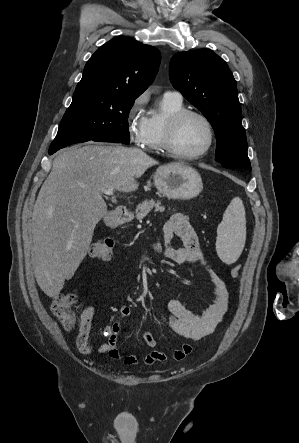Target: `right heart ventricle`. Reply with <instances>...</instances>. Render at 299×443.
<instances>
[{
	"label": "right heart ventricle",
	"instance_id": "e07e8e85",
	"mask_svg": "<svg viewBox=\"0 0 299 443\" xmlns=\"http://www.w3.org/2000/svg\"><path fill=\"white\" fill-rule=\"evenodd\" d=\"M184 109L182 101H177L164 96L161 100L160 109L151 113L148 117L147 133L142 147L151 152H163V137L168 117Z\"/></svg>",
	"mask_w": 299,
	"mask_h": 443
}]
</instances>
